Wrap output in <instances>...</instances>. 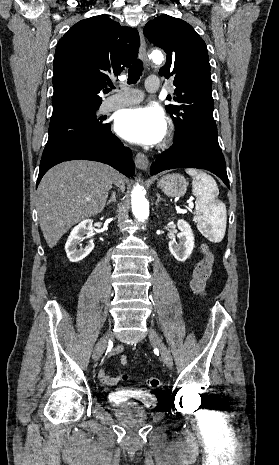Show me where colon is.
Masks as SVG:
<instances>
[{
	"label": "colon",
	"mask_w": 279,
	"mask_h": 465,
	"mask_svg": "<svg viewBox=\"0 0 279 465\" xmlns=\"http://www.w3.org/2000/svg\"><path fill=\"white\" fill-rule=\"evenodd\" d=\"M203 257L198 262L195 267L193 280L191 287L194 293L204 294L206 289V283L211 275L212 268L214 265V256L208 246L203 245L201 248ZM129 378L128 374L123 375V379L127 380ZM147 386L150 388H158L160 386V380L156 377H150L146 381Z\"/></svg>",
	"instance_id": "obj_1"
}]
</instances>
